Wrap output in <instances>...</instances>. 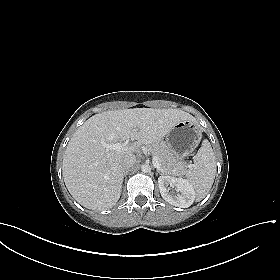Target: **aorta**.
<instances>
[{"instance_id": "aorta-1", "label": "aorta", "mask_w": 280, "mask_h": 280, "mask_svg": "<svg viewBox=\"0 0 280 280\" xmlns=\"http://www.w3.org/2000/svg\"><path fill=\"white\" fill-rule=\"evenodd\" d=\"M141 170H142V172L147 173L150 171V166L147 164H144L141 166Z\"/></svg>"}]
</instances>
